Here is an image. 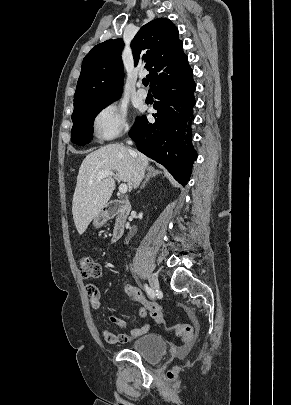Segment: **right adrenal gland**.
<instances>
[{"label": "right adrenal gland", "mask_w": 291, "mask_h": 405, "mask_svg": "<svg viewBox=\"0 0 291 405\" xmlns=\"http://www.w3.org/2000/svg\"><path fill=\"white\" fill-rule=\"evenodd\" d=\"M147 171H148V172H147L145 181L143 182V184H142V186H141L140 189H143V188L145 187V184L149 181V179H150L151 177H153V176H155V175L161 173L160 171L156 170L154 167H151V166L147 168ZM138 192H140V191H138Z\"/></svg>", "instance_id": "obj_1"}]
</instances>
